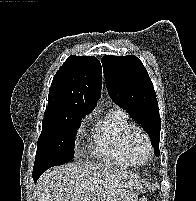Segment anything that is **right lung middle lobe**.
Masks as SVG:
<instances>
[{"label": "right lung middle lobe", "mask_w": 196, "mask_h": 201, "mask_svg": "<svg viewBox=\"0 0 196 201\" xmlns=\"http://www.w3.org/2000/svg\"><path fill=\"white\" fill-rule=\"evenodd\" d=\"M86 114L82 110H73L62 115L44 116L33 173L42 174L49 167L73 159L77 129Z\"/></svg>", "instance_id": "dd1d6c3e"}]
</instances>
